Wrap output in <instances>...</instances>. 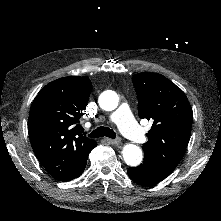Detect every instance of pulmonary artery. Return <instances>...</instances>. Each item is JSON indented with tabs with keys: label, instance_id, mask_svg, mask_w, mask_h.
I'll use <instances>...</instances> for the list:
<instances>
[{
	"label": "pulmonary artery",
	"instance_id": "pulmonary-artery-1",
	"mask_svg": "<svg viewBox=\"0 0 221 221\" xmlns=\"http://www.w3.org/2000/svg\"><path fill=\"white\" fill-rule=\"evenodd\" d=\"M115 119L121 122V130L137 144L143 143L146 140V130L141 127L133 118H130L131 113L127 107L121 106L115 110Z\"/></svg>",
	"mask_w": 221,
	"mask_h": 221
}]
</instances>
